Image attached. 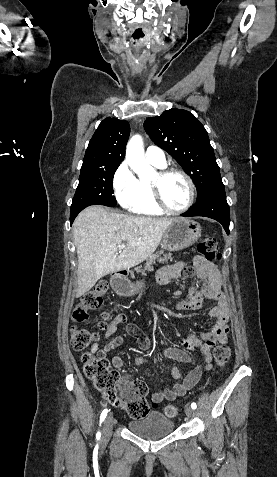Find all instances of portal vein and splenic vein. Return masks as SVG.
Instances as JSON below:
<instances>
[{"instance_id": "1", "label": "portal vein and splenic vein", "mask_w": 277, "mask_h": 477, "mask_svg": "<svg viewBox=\"0 0 277 477\" xmlns=\"http://www.w3.org/2000/svg\"><path fill=\"white\" fill-rule=\"evenodd\" d=\"M125 246H126L125 244H119V245H118V249L121 250V249L125 248Z\"/></svg>"}]
</instances>
